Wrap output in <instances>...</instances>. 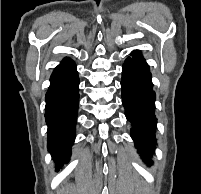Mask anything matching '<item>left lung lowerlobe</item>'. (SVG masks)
I'll list each match as a JSON object with an SVG mask.
<instances>
[{
  "label": "left lung lower lobe",
  "mask_w": 201,
  "mask_h": 194,
  "mask_svg": "<svg viewBox=\"0 0 201 194\" xmlns=\"http://www.w3.org/2000/svg\"><path fill=\"white\" fill-rule=\"evenodd\" d=\"M123 65L121 89L130 134L143 161L152 164L155 150V98L149 65L139 50L132 51Z\"/></svg>",
  "instance_id": "0a47b994"
}]
</instances>
